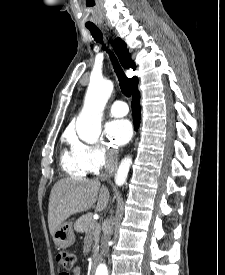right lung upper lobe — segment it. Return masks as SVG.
<instances>
[{"label":"right lung upper lobe","mask_w":225,"mask_h":275,"mask_svg":"<svg viewBox=\"0 0 225 275\" xmlns=\"http://www.w3.org/2000/svg\"><path fill=\"white\" fill-rule=\"evenodd\" d=\"M113 48L116 52V54L119 57V60L123 67L125 68H132L135 70V63L130 59V54L128 52L126 43L122 41L120 38H117L113 43ZM131 83L133 89L137 87L138 81L136 77L131 78Z\"/></svg>","instance_id":"obj_1"}]
</instances>
